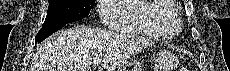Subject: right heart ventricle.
I'll return each instance as SVG.
<instances>
[{
  "label": "right heart ventricle",
  "mask_w": 230,
  "mask_h": 71,
  "mask_svg": "<svg viewBox=\"0 0 230 71\" xmlns=\"http://www.w3.org/2000/svg\"><path fill=\"white\" fill-rule=\"evenodd\" d=\"M108 10L110 28L123 33L170 38L180 30L177 8L172 0H125Z\"/></svg>",
  "instance_id": "obj_1"
}]
</instances>
